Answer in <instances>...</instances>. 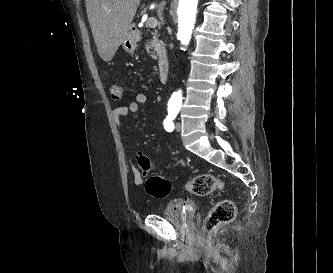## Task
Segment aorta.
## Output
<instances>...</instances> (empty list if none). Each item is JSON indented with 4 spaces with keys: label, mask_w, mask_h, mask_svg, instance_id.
<instances>
[{
    "label": "aorta",
    "mask_w": 333,
    "mask_h": 273,
    "mask_svg": "<svg viewBox=\"0 0 333 273\" xmlns=\"http://www.w3.org/2000/svg\"><path fill=\"white\" fill-rule=\"evenodd\" d=\"M198 0H179L178 4V33L177 37L181 44L187 46L190 42L192 30L196 21ZM170 103L180 105L182 103L181 91L174 92Z\"/></svg>",
    "instance_id": "aorta-1"
}]
</instances>
